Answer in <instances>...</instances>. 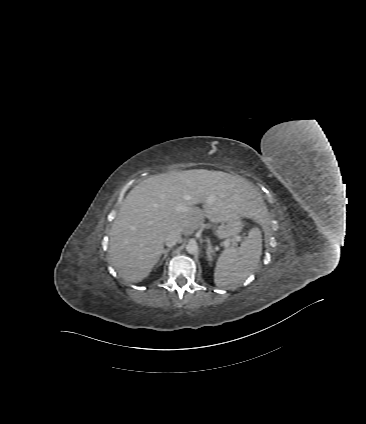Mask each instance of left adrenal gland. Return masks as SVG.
<instances>
[{
  "instance_id": "1",
  "label": "left adrenal gland",
  "mask_w": 366,
  "mask_h": 424,
  "mask_svg": "<svg viewBox=\"0 0 366 424\" xmlns=\"http://www.w3.org/2000/svg\"><path fill=\"white\" fill-rule=\"evenodd\" d=\"M206 254H207L208 261H212L213 260L212 255L214 254V250L212 248V245H211V242H210L209 239H207V252H206Z\"/></svg>"
}]
</instances>
